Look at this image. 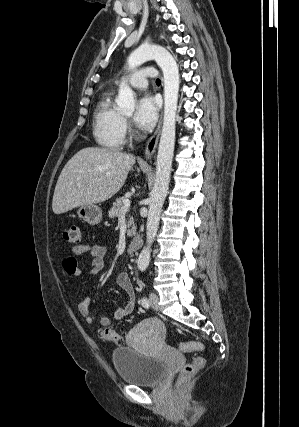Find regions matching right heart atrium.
Listing matches in <instances>:
<instances>
[{"mask_svg":"<svg viewBox=\"0 0 299 427\" xmlns=\"http://www.w3.org/2000/svg\"><path fill=\"white\" fill-rule=\"evenodd\" d=\"M127 128H128V125H127V123L124 121V129H125V131L127 130Z\"/></svg>","mask_w":299,"mask_h":427,"instance_id":"right-heart-atrium-1","label":"right heart atrium"}]
</instances>
